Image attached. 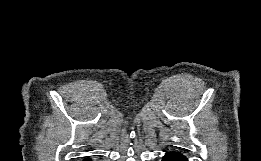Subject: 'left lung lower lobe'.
I'll list each match as a JSON object with an SVG mask.
<instances>
[{
    "instance_id": "0a47b994",
    "label": "left lung lower lobe",
    "mask_w": 261,
    "mask_h": 161,
    "mask_svg": "<svg viewBox=\"0 0 261 161\" xmlns=\"http://www.w3.org/2000/svg\"><path fill=\"white\" fill-rule=\"evenodd\" d=\"M162 161H188L185 156L179 152H168Z\"/></svg>"
}]
</instances>
